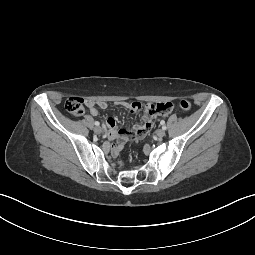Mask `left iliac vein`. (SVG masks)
Masks as SVG:
<instances>
[{"mask_svg":"<svg viewBox=\"0 0 255 255\" xmlns=\"http://www.w3.org/2000/svg\"><path fill=\"white\" fill-rule=\"evenodd\" d=\"M165 131L163 130V129H158L157 131H156V135H157V137H159V138H162V137H164L165 136Z\"/></svg>","mask_w":255,"mask_h":255,"instance_id":"obj_1","label":"left iliac vein"}]
</instances>
